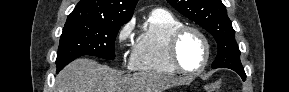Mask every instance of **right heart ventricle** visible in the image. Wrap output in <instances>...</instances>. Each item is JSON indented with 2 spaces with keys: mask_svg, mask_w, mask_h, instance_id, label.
<instances>
[{
  "mask_svg": "<svg viewBox=\"0 0 289 92\" xmlns=\"http://www.w3.org/2000/svg\"><path fill=\"white\" fill-rule=\"evenodd\" d=\"M183 23L164 10L153 11L137 39L131 55L132 69L161 75H175L178 71L168 55L171 34Z\"/></svg>",
  "mask_w": 289,
  "mask_h": 92,
  "instance_id": "e07e8e85",
  "label": "right heart ventricle"
}]
</instances>
